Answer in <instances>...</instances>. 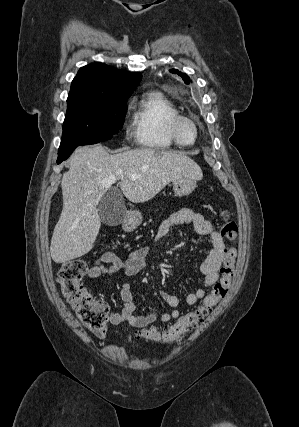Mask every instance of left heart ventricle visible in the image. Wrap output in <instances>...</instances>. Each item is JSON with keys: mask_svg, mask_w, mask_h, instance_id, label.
<instances>
[{"mask_svg": "<svg viewBox=\"0 0 299 427\" xmlns=\"http://www.w3.org/2000/svg\"><path fill=\"white\" fill-rule=\"evenodd\" d=\"M179 135L183 142H191L194 139V128L189 122H182L179 126Z\"/></svg>", "mask_w": 299, "mask_h": 427, "instance_id": "obj_1", "label": "left heart ventricle"}]
</instances>
